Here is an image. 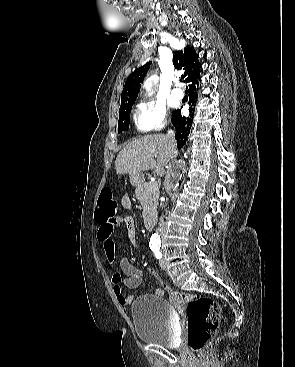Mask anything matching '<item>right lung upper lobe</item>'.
<instances>
[{
	"label": "right lung upper lobe",
	"mask_w": 295,
	"mask_h": 367,
	"mask_svg": "<svg viewBox=\"0 0 295 367\" xmlns=\"http://www.w3.org/2000/svg\"><path fill=\"white\" fill-rule=\"evenodd\" d=\"M151 62L146 63L142 67L136 69L125 82L124 89L121 96V105L129 102H135L140 91V84ZM173 64L176 69L184 70V74L181 76L183 82L188 83L186 87L188 91L194 86L198 85V79L200 77L201 66L198 62V55L192 46H187L184 50L175 51L173 55Z\"/></svg>",
	"instance_id": "cb5924a9"
}]
</instances>
